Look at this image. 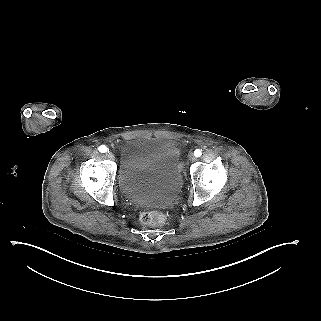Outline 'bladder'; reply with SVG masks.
Returning a JSON list of instances; mask_svg holds the SVG:
<instances>
[{
    "instance_id": "1",
    "label": "bladder",
    "mask_w": 321,
    "mask_h": 321,
    "mask_svg": "<svg viewBox=\"0 0 321 321\" xmlns=\"http://www.w3.org/2000/svg\"><path fill=\"white\" fill-rule=\"evenodd\" d=\"M118 184L125 197L137 205L170 203L183 184L179 149L167 139L126 140L120 153Z\"/></svg>"
}]
</instances>
